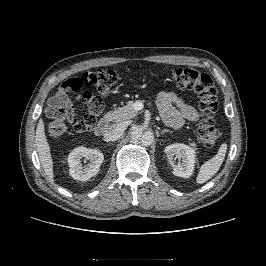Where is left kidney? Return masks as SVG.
<instances>
[{
  "instance_id": "obj_1",
  "label": "left kidney",
  "mask_w": 266,
  "mask_h": 266,
  "mask_svg": "<svg viewBox=\"0 0 266 266\" xmlns=\"http://www.w3.org/2000/svg\"><path fill=\"white\" fill-rule=\"evenodd\" d=\"M164 152L175 176L188 178L192 175L195 164V150L193 148L176 143L168 145ZM176 159L179 160L178 163H175Z\"/></svg>"
}]
</instances>
